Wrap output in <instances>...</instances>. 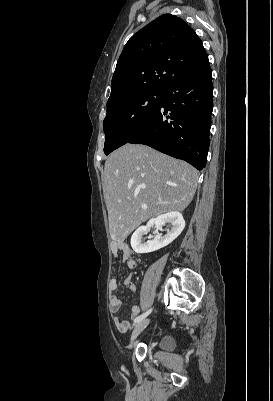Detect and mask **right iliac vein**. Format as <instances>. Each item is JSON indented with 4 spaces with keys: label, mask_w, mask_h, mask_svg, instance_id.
<instances>
[{
    "label": "right iliac vein",
    "mask_w": 273,
    "mask_h": 401,
    "mask_svg": "<svg viewBox=\"0 0 273 401\" xmlns=\"http://www.w3.org/2000/svg\"><path fill=\"white\" fill-rule=\"evenodd\" d=\"M148 324H149V319H144L135 325L128 345L129 349L132 348L135 339L147 327Z\"/></svg>",
    "instance_id": "right-iliac-vein-1"
}]
</instances>
